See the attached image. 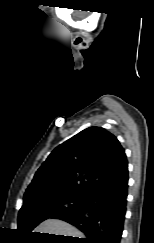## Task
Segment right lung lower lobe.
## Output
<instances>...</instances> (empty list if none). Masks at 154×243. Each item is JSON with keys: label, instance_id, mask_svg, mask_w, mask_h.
<instances>
[{"label": "right lung lower lobe", "instance_id": "obj_1", "mask_svg": "<svg viewBox=\"0 0 154 243\" xmlns=\"http://www.w3.org/2000/svg\"><path fill=\"white\" fill-rule=\"evenodd\" d=\"M127 188L128 168L92 191L83 206L54 218L74 225L86 235L74 239L75 243H120Z\"/></svg>", "mask_w": 154, "mask_h": 243}]
</instances>
